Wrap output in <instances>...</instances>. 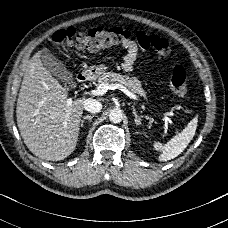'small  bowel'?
<instances>
[{"label": "small bowel", "mask_w": 228, "mask_h": 228, "mask_svg": "<svg viewBox=\"0 0 228 228\" xmlns=\"http://www.w3.org/2000/svg\"><path fill=\"white\" fill-rule=\"evenodd\" d=\"M140 44L144 49H147L149 47V44L147 43V39L144 36H141L139 38ZM123 48L126 49L127 53L124 57V61L122 64V68L125 72H130L133 68V65L137 59L138 55V46L137 44L132 40H127L122 44ZM145 57L147 59H150L152 57V53L150 51H147L145 53Z\"/></svg>", "instance_id": "small-bowel-1"}]
</instances>
